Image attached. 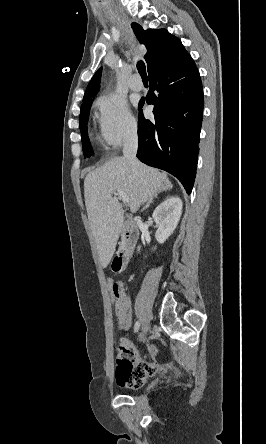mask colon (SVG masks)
I'll return each mask as SVG.
<instances>
[{
    "mask_svg": "<svg viewBox=\"0 0 266 444\" xmlns=\"http://www.w3.org/2000/svg\"><path fill=\"white\" fill-rule=\"evenodd\" d=\"M124 295V288L121 282H114L111 285V300L114 308L121 304Z\"/></svg>",
    "mask_w": 266,
    "mask_h": 444,
    "instance_id": "5ec220e1",
    "label": "colon"
}]
</instances>
